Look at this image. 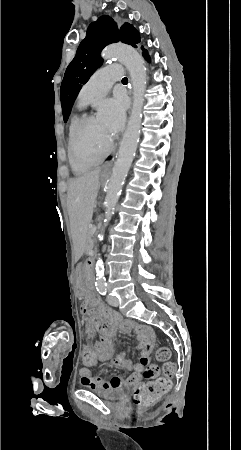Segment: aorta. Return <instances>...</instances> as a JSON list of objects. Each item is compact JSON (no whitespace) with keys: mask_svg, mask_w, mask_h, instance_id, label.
<instances>
[{"mask_svg":"<svg viewBox=\"0 0 241 450\" xmlns=\"http://www.w3.org/2000/svg\"><path fill=\"white\" fill-rule=\"evenodd\" d=\"M104 59L116 58L123 63L129 71L133 87V104L131 114L120 143L119 151L114 163L111 177L107 183L105 198L104 226H107L114 208L119 200L122 186L132 164L141 132L142 110L146 90V68L141 55L131 46L125 44H112L101 53ZM104 234L101 232L98 239L101 241ZM105 283L104 266L101 258L96 263V284Z\"/></svg>","mask_w":241,"mask_h":450,"instance_id":"762f6f07","label":"aorta"}]
</instances>
